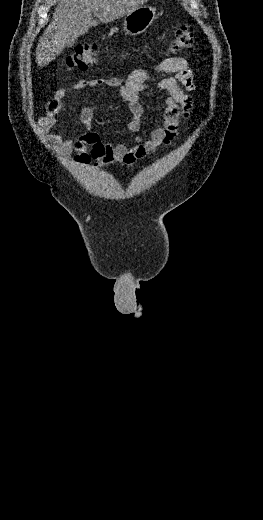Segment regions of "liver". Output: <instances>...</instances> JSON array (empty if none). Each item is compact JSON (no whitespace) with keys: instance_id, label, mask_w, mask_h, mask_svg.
I'll return each mask as SVG.
<instances>
[{"instance_id":"obj_1","label":"liver","mask_w":263,"mask_h":520,"mask_svg":"<svg viewBox=\"0 0 263 520\" xmlns=\"http://www.w3.org/2000/svg\"><path fill=\"white\" fill-rule=\"evenodd\" d=\"M148 0H60L52 21L36 49L39 67L47 66L66 46L84 35L99 21L112 22L132 12ZM92 14L99 20H95Z\"/></svg>"}]
</instances>
